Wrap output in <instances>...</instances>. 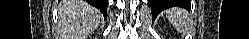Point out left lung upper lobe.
Segmentation results:
<instances>
[{"label": "left lung upper lobe", "mask_w": 249, "mask_h": 39, "mask_svg": "<svg viewBox=\"0 0 249 39\" xmlns=\"http://www.w3.org/2000/svg\"><path fill=\"white\" fill-rule=\"evenodd\" d=\"M176 5H182V2H180V3L176 4Z\"/></svg>", "instance_id": "1"}]
</instances>
